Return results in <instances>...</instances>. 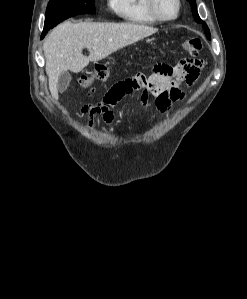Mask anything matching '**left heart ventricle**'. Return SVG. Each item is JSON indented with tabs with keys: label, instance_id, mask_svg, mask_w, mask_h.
<instances>
[{
	"label": "left heart ventricle",
	"instance_id": "left-heart-ventricle-1",
	"mask_svg": "<svg viewBox=\"0 0 247 299\" xmlns=\"http://www.w3.org/2000/svg\"><path fill=\"white\" fill-rule=\"evenodd\" d=\"M157 9L164 17H171L176 12V3L174 0H157Z\"/></svg>",
	"mask_w": 247,
	"mask_h": 299
}]
</instances>
